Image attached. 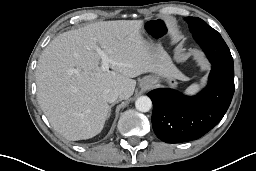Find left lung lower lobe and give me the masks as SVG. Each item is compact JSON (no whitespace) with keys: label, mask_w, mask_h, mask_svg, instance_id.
<instances>
[{"label":"left lung lower lobe","mask_w":256,"mask_h":171,"mask_svg":"<svg viewBox=\"0 0 256 171\" xmlns=\"http://www.w3.org/2000/svg\"><path fill=\"white\" fill-rule=\"evenodd\" d=\"M212 64L208 86L188 97L159 88L147 95L153 102L152 127L167 143L196 140L216 126L226 113L234 94V64L220 34L193 33Z\"/></svg>","instance_id":"0a47b994"}]
</instances>
